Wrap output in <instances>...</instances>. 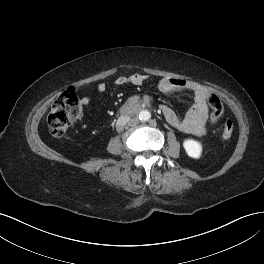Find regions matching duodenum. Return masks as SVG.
<instances>
[{
  "instance_id": "duodenum-1",
  "label": "duodenum",
  "mask_w": 264,
  "mask_h": 264,
  "mask_svg": "<svg viewBox=\"0 0 264 264\" xmlns=\"http://www.w3.org/2000/svg\"><path fill=\"white\" fill-rule=\"evenodd\" d=\"M142 105H150V99L149 98H145L141 103H139V109L142 108ZM131 111L129 108H126L122 111V116L123 118H127L129 117Z\"/></svg>"
}]
</instances>
